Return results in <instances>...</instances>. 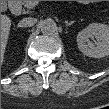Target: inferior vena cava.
<instances>
[{
    "label": "inferior vena cava",
    "instance_id": "inferior-vena-cava-1",
    "mask_svg": "<svg viewBox=\"0 0 109 109\" xmlns=\"http://www.w3.org/2000/svg\"><path fill=\"white\" fill-rule=\"evenodd\" d=\"M36 19L35 18H23L19 23L18 26L19 27H31L36 23Z\"/></svg>",
    "mask_w": 109,
    "mask_h": 109
}]
</instances>
